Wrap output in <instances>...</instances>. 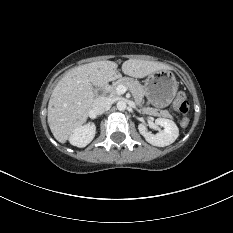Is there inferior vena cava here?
<instances>
[{
	"label": "inferior vena cava",
	"instance_id": "obj_1",
	"mask_svg": "<svg viewBox=\"0 0 233 233\" xmlns=\"http://www.w3.org/2000/svg\"><path fill=\"white\" fill-rule=\"evenodd\" d=\"M111 104L112 102L109 98L99 97L93 102L92 112L96 115H101L111 106Z\"/></svg>",
	"mask_w": 233,
	"mask_h": 233
}]
</instances>
